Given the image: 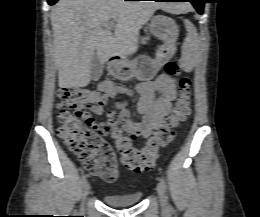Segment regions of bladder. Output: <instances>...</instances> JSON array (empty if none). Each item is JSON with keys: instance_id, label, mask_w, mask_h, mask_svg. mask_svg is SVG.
Instances as JSON below:
<instances>
[{"instance_id": "1", "label": "bladder", "mask_w": 260, "mask_h": 217, "mask_svg": "<svg viewBox=\"0 0 260 217\" xmlns=\"http://www.w3.org/2000/svg\"><path fill=\"white\" fill-rule=\"evenodd\" d=\"M142 199V193H132V194H123V195H111L106 194L103 196V200L113 207H125L134 205L140 202Z\"/></svg>"}]
</instances>
